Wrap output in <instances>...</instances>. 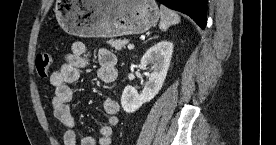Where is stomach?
<instances>
[{
	"label": "stomach",
	"mask_w": 276,
	"mask_h": 145,
	"mask_svg": "<svg viewBox=\"0 0 276 145\" xmlns=\"http://www.w3.org/2000/svg\"><path fill=\"white\" fill-rule=\"evenodd\" d=\"M54 12L59 25L79 37L141 34L160 18L154 0H60Z\"/></svg>",
	"instance_id": "1"
}]
</instances>
